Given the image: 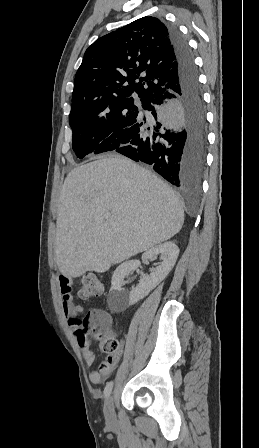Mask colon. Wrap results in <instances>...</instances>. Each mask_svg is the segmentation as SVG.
<instances>
[{
  "mask_svg": "<svg viewBox=\"0 0 259 448\" xmlns=\"http://www.w3.org/2000/svg\"><path fill=\"white\" fill-rule=\"evenodd\" d=\"M104 283L93 273L83 276L81 279L78 294L82 299H91L102 295ZM110 319L107 313L102 310H91L80 322L77 329V336L80 340L87 339V336L100 341L102 350L109 356H120L122 348L119 341L109 332Z\"/></svg>",
  "mask_w": 259,
  "mask_h": 448,
  "instance_id": "5ec220e1",
  "label": "colon"
}]
</instances>
